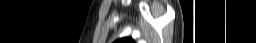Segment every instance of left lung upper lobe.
Listing matches in <instances>:
<instances>
[{
	"label": "left lung upper lobe",
	"instance_id": "1",
	"mask_svg": "<svg viewBox=\"0 0 256 43\" xmlns=\"http://www.w3.org/2000/svg\"><path fill=\"white\" fill-rule=\"evenodd\" d=\"M115 43H135L131 38H122L118 39Z\"/></svg>",
	"mask_w": 256,
	"mask_h": 43
}]
</instances>
